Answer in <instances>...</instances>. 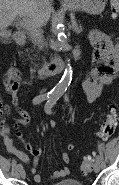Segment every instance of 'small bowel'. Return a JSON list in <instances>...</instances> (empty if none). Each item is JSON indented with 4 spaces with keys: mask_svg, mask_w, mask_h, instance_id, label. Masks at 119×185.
Listing matches in <instances>:
<instances>
[{
    "mask_svg": "<svg viewBox=\"0 0 119 185\" xmlns=\"http://www.w3.org/2000/svg\"><path fill=\"white\" fill-rule=\"evenodd\" d=\"M89 40L94 48L92 54V63L94 67L82 82V87L87 95L88 100L94 101L101 95L104 86L113 81L116 72L118 71L119 47L115 43L114 35L97 30H92L89 33ZM29 83L30 82L28 80L23 78L22 73L14 65H11L5 73L3 86L5 93L11 96L13 104L21 114L20 118L15 119L13 128L16 131V135L23 143L25 151L33 156V160H30L26 152L18 150L13 145V140L10 136V128L7 125V119L11 117L8 106L3 107L5 118L2 121L1 135L7 150L16 155L21 161L25 163H31V172L34 174V180L36 182H42L43 177L38 174V162L41 156V149L26 142L18 130L20 125H26L30 122V116L19 105L16 94L21 85H27ZM55 125V122L51 123V127H55ZM73 149V144L66 145V151L62 154V159L65 163L70 162L71 156L69 151H72ZM70 173V168L64 167L61 170L53 172L50 176V179L56 180L64 178L70 175Z\"/></svg>",
    "mask_w": 119,
    "mask_h": 185,
    "instance_id": "obj_1",
    "label": "small bowel"
}]
</instances>
